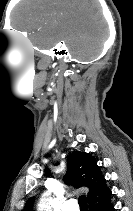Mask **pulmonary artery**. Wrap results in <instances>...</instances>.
<instances>
[{"label":"pulmonary artery","mask_w":133,"mask_h":211,"mask_svg":"<svg viewBox=\"0 0 133 211\" xmlns=\"http://www.w3.org/2000/svg\"><path fill=\"white\" fill-rule=\"evenodd\" d=\"M62 211H79L77 201L75 199L67 200L62 207Z\"/></svg>","instance_id":"1"}]
</instances>
